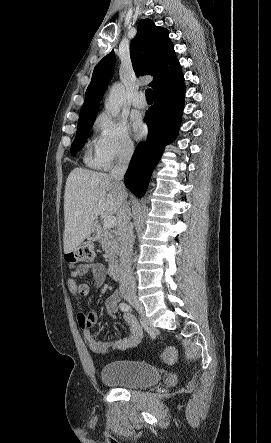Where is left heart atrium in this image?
<instances>
[{
	"label": "left heart atrium",
	"mask_w": 271,
	"mask_h": 443,
	"mask_svg": "<svg viewBox=\"0 0 271 443\" xmlns=\"http://www.w3.org/2000/svg\"><path fill=\"white\" fill-rule=\"evenodd\" d=\"M132 126L137 139H141L146 135L147 128L140 116L135 115L132 117Z\"/></svg>",
	"instance_id": "left-heart-atrium-1"
}]
</instances>
